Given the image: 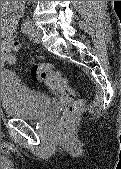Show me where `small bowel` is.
Returning <instances> with one entry per match:
<instances>
[{
	"label": "small bowel",
	"mask_w": 121,
	"mask_h": 169,
	"mask_svg": "<svg viewBox=\"0 0 121 169\" xmlns=\"http://www.w3.org/2000/svg\"><path fill=\"white\" fill-rule=\"evenodd\" d=\"M22 14V4L20 1H5L2 7L1 30L3 34L2 44H7L6 32L16 31L18 19ZM4 50V49H3ZM1 63L6 64L4 56L1 57Z\"/></svg>",
	"instance_id": "1"
}]
</instances>
